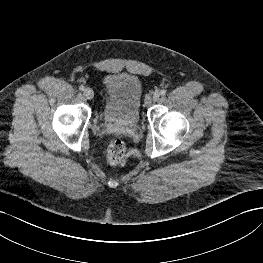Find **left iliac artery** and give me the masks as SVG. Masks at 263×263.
I'll use <instances>...</instances> for the list:
<instances>
[{"label":"left iliac artery","instance_id":"obj_1","mask_svg":"<svg viewBox=\"0 0 263 263\" xmlns=\"http://www.w3.org/2000/svg\"><path fill=\"white\" fill-rule=\"evenodd\" d=\"M165 94H166V90L163 89V90L160 91V95L163 96V95H165Z\"/></svg>","mask_w":263,"mask_h":263}]
</instances>
